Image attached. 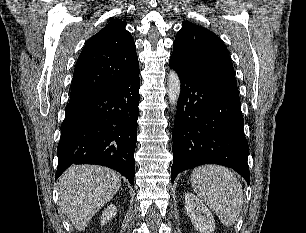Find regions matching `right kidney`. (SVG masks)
Masks as SVG:
<instances>
[{
  "label": "right kidney",
  "instance_id": "1",
  "mask_svg": "<svg viewBox=\"0 0 306 233\" xmlns=\"http://www.w3.org/2000/svg\"><path fill=\"white\" fill-rule=\"evenodd\" d=\"M117 213V208L115 205H109L102 213L101 216V226L105 225L108 220L112 219Z\"/></svg>",
  "mask_w": 306,
  "mask_h": 233
}]
</instances>
